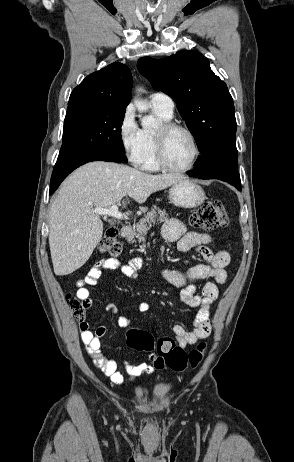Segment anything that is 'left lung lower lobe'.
Returning <instances> with one entry per match:
<instances>
[{
    "instance_id": "0a47b994",
    "label": "left lung lower lobe",
    "mask_w": 294,
    "mask_h": 462,
    "mask_svg": "<svg viewBox=\"0 0 294 462\" xmlns=\"http://www.w3.org/2000/svg\"><path fill=\"white\" fill-rule=\"evenodd\" d=\"M236 144H227L202 154L189 176L201 179H220L241 191L240 175L237 170Z\"/></svg>"
}]
</instances>
